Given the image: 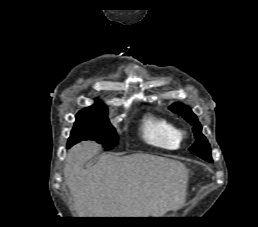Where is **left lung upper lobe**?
<instances>
[{
    "instance_id": "obj_1",
    "label": "left lung upper lobe",
    "mask_w": 258,
    "mask_h": 227,
    "mask_svg": "<svg viewBox=\"0 0 258 227\" xmlns=\"http://www.w3.org/2000/svg\"><path fill=\"white\" fill-rule=\"evenodd\" d=\"M170 109L181 115L186 121H188L191 125L194 126V133L196 141L195 143L190 147V151L199 157L203 158L204 160L208 162H212L211 158V148L210 145L205 138V136L201 133V125L196 117V115L191 111V109L188 106H185L181 103H175L170 106Z\"/></svg>"
}]
</instances>
